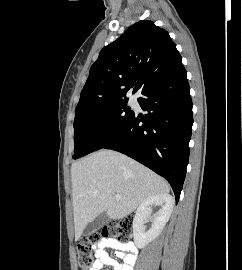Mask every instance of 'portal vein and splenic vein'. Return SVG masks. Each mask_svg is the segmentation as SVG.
<instances>
[{"mask_svg":"<svg viewBox=\"0 0 242 270\" xmlns=\"http://www.w3.org/2000/svg\"><path fill=\"white\" fill-rule=\"evenodd\" d=\"M114 198H115L116 200H120V199H121V195L116 194V195L114 196Z\"/></svg>","mask_w":242,"mask_h":270,"instance_id":"portal-vein-and-splenic-vein-1","label":"portal vein and splenic vein"}]
</instances>
